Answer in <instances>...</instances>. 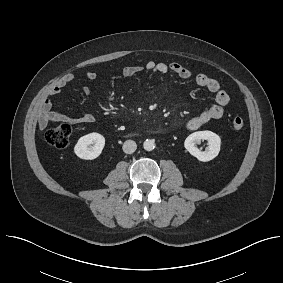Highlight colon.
<instances>
[{
	"instance_id": "1",
	"label": "colon",
	"mask_w": 283,
	"mask_h": 283,
	"mask_svg": "<svg viewBox=\"0 0 283 283\" xmlns=\"http://www.w3.org/2000/svg\"><path fill=\"white\" fill-rule=\"evenodd\" d=\"M245 125L242 117H234L232 119V127L235 130H241ZM71 126L69 124H60L46 132V141L56 148H65L71 137Z\"/></svg>"
}]
</instances>
